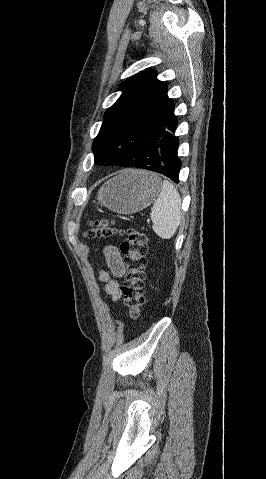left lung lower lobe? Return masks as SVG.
<instances>
[{"mask_svg":"<svg viewBox=\"0 0 266 479\" xmlns=\"http://www.w3.org/2000/svg\"><path fill=\"white\" fill-rule=\"evenodd\" d=\"M174 108L175 105H173L167 116L164 129L157 145V154L155 158L140 164L139 168L161 173L178 183L179 171L182 163L177 155L179 140L174 136L178 124L177 118L174 115Z\"/></svg>","mask_w":266,"mask_h":479,"instance_id":"1","label":"left lung lower lobe"}]
</instances>
